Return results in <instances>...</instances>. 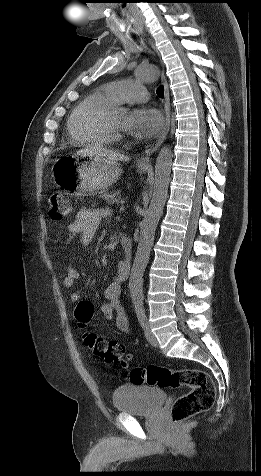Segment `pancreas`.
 Segmentation results:
<instances>
[{"mask_svg": "<svg viewBox=\"0 0 261 476\" xmlns=\"http://www.w3.org/2000/svg\"><path fill=\"white\" fill-rule=\"evenodd\" d=\"M104 198L109 205L119 204L120 203V192L116 191L114 193H104Z\"/></svg>", "mask_w": 261, "mask_h": 476, "instance_id": "pancreas-1", "label": "pancreas"}]
</instances>
